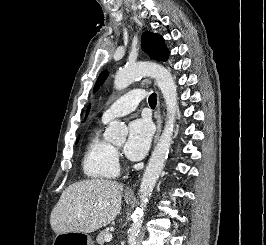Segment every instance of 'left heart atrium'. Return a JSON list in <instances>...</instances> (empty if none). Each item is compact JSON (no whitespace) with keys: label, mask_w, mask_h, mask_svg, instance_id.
<instances>
[{"label":"left heart atrium","mask_w":266,"mask_h":245,"mask_svg":"<svg viewBox=\"0 0 266 245\" xmlns=\"http://www.w3.org/2000/svg\"><path fill=\"white\" fill-rule=\"evenodd\" d=\"M152 137V125L147 119L129 123L127 139L123 147L125 156L133 161L141 159L148 150Z\"/></svg>","instance_id":"left-heart-atrium-1"}]
</instances>
